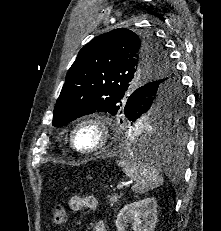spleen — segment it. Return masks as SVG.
<instances>
[{"instance_id":"obj_1","label":"spleen","mask_w":221,"mask_h":231,"mask_svg":"<svg viewBox=\"0 0 221 231\" xmlns=\"http://www.w3.org/2000/svg\"><path fill=\"white\" fill-rule=\"evenodd\" d=\"M117 165L135 182L132 187L135 193H145L163 184V177L153 166L152 161H144L130 154L118 160Z\"/></svg>"}]
</instances>
